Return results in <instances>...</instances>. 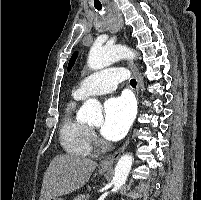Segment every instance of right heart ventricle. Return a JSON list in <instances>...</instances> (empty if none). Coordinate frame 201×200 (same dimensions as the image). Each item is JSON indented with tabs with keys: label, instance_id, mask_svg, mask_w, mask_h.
<instances>
[{
	"label": "right heart ventricle",
	"instance_id": "obj_1",
	"mask_svg": "<svg viewBox=\"0 0 201 200\" xmlns=\"http://www.w3.org/2000/svg\"><path fill=\"white\" fill-rule=\"evenodd\" d=\"M82 99L73 94L65 107L59 132L64 150L78 156L88 155L92 149L90 129L76 114L77 105Z\"/></svg>",
	"mask_w": 201,
	"mask_h": 200
}]
</instances>
